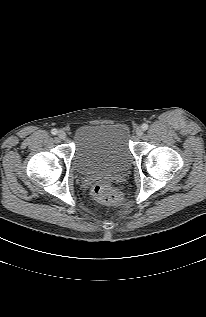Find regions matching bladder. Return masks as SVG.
Masks as SVG:
<instances>
[{
	"mask_svg": "<svg viewBox=\"0 0 206 317\" xmlns=\"http://www.w3.org/2000/svg\"><path fill=\"white\" fill-rule=\"evenodd\" d=\"M125 124L82 125L74 132L73 166L84 177L126 171L132 161Z\"/></svg>",
	"mask_w": 206,
	"mask_h": 317,
	"instance_id": "bladder-1",
	"label": "bladder"
}]
</instances>
